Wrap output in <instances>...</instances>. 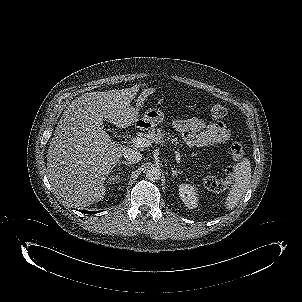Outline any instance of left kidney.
Returning a JSON list of instances; mask_svg holds the SVG:
<instances>
[{
  "instance_id": "obj_1",
  "label": "left kidney",
  "mask_w": 302,
  "mask_h": 302,
  "mask_svg": "<svg viewBox=\"0 0 302 302\" xmlns=\"http://www.w3.org/2000/svg\"><path fill=\"white\" fill-rule=\"evenodd\" d=\"M197 190L195 186L191 184H180L179 185V196L186 207L189 209H195L198 206Z\"/></svg>"
}]
</instances>
